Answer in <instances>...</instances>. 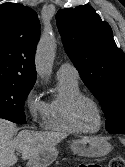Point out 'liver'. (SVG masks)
Returning <instances> with one entry per match:
<instances>
[{
  "label": "liver",
  "mask_w": 125,
  "mask_h": 167,
  "mask_svg": "<svg viewBox=\"0 0 125 167\" xmlns=\"http://www.w3.org/2000/svg\"><path fill=\"white\" fill-rule=\"evenodd\" d=\"M14 123L0 119V167H10L17 163L15 151L23 160H30L46 148L55 147L66 134L60 132L20 131L15 137Z\"/></svg>",
  "instance_id": "obj_1"
}]
</instances>
